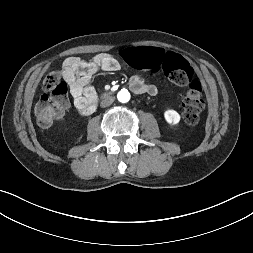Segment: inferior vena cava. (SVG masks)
Returning a JSON list of instances; mask_svg holds the SVG:
<instances>
[{"instance_id":"602c4592","label":"inferior vena cava","mask_w":253,"mask_h":253,"mask_svg":"<svg viewBox=\"0 0 253 253\" xmlns=\"http://www.w3.org/2000/svg\"><path fill=\"white\" fill-rule=\"evenodd\" d=\"M113 102H114V98L109 97V98L104 99V100L101 102L100 106H101V107H107V106H110Z\"/></svg>"}]
</instances>
